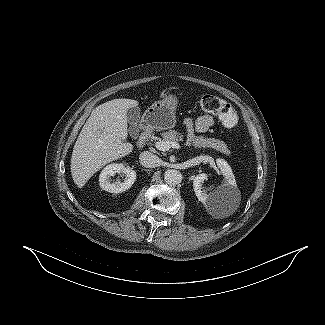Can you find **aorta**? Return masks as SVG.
<instances>
[{
    "mask_svg": "<svg viewBox=\"0 0 325 325\" xmlns=\"http://www.w3.org/2000/svg\"><path fill=\"white\" fill-rule=\"evenodd\" d=\"M164 180L169 185H177L182 181V174L175 169H169L164 174Z\"/></svg>",
    "mask_w": 325,
    "mask_h": 325,
    "instance_id": "762f6f07",
    "label": "aorta"
}]
</instances>
